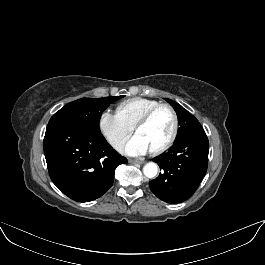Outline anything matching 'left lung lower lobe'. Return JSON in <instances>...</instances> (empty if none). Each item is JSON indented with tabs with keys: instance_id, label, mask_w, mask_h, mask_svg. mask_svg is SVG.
<instances>
[{
	"instance_id": "left-lung-lower-lobe-1",
	"label": "left lung lower lobe",
	"mask_w": 265,
	"mask_h": 265,
	"mask_svg": "<svg viewBox=\"0 0 265 265\" xmlns=\"http://www.w3.org/2000/svg\"><path fill=\"white\" fill-rule=\"evenodd\" d=\"M208 152L209 141L204 130L174 141L167 153L153 160L161 173L149 182L151 191L167 203L189 199L205 176Z\"/></svg>"
}]
</instances>
